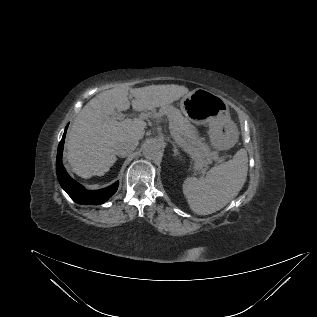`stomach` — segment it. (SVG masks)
<instances>
[{"label": "stomach", "mask_w": 317, "mask_h": 317, "mask_svg": "<svg viewBox=\"0 0 317 317\" xmlns=\"http://www.w3.org/2000/svg\"><path fill=\"white\" fill-rule=\"evenodd\" d=\"M180 106L187 116L192 109L203 114L198 122L209 125V137L216 149H230L238 141V128L231 120L228 105L222 96L197 88L182 98Z\"/></svg>", "instance_id": "stomach-1"}]
</instances>
